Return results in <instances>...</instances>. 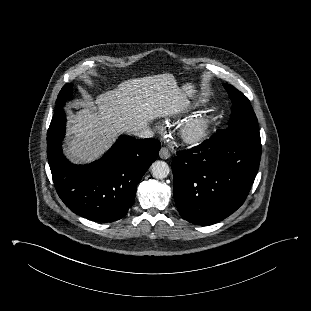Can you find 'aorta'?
<instances>
[{
	"label": "aorta",
	"instance_id": "1",
	"mask_svg": "<svg viewBox=\"0 0 311 311\" xmlns=\"http://www.w3.org/2000/svg\"><path fill=\"white\" fill-rule=\"evenodd\" d=\"M170 169L166 162L164 161H155L151 165V173L153 177L157 179H164L169 175Z\"/></svg>",
	"mask_w": 311,
	"mask_h": 311
}]
</instances>
